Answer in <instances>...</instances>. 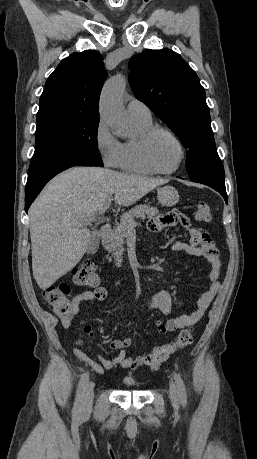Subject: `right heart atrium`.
Returning a JSON list of instances; mask_svg holds the SVG:
<instances>
[{
  "instance_id": "right-heart-atrium-1",
  "label": "right heart atrium",
  "mask_w": 257,
  "mask_h": 459,
  "mask_svg": "<svg viewBox=\"0 0 257 459\" xmlns=\"http://www.w3.org/2000/svg\"><path fill=\"white\" fill-rule=\"evenodd\" d=\"M96 149L108 167H117L121 155V142L112 134L108 124L100 119L95 129Z\"/></svg>"
}]
</instances>
